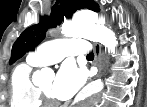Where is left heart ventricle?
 <instances>
[{
    "label": "left heart ventricle",
    "mask_w": 147,
    "mask_h": 107,
    "mask_svg": "<svg viewBox=\"0 0 147 107\" xmlns=\"http://www.w3.org/2000/svg\"><path fill=\"white\" fill-rule=\"evenodd\" d=\"M54 84V79L50 78L47 80H44L39 86L46 92L48 93L52 98H54L52 94V88Z\"/></svg>",
    "instance_id": "1"
}]
</instances>
